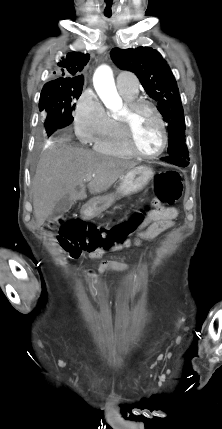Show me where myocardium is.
<instances>
[{"label": "myocardium", "instance_id": "obj_1", "mask_svg": "<svg viewBox=\"0 0 222 429\" xmlns=\"http://www.w3.org/2000/svg\"><path fill=\"white\" fill-rule=\"evenodd\" d=\"M141 109H149L155 115L162 132V145L157 152L152 154L142 152L134 140L133 120ZM118 120L122 129L124 142L133 155L143 159H156L165 152L169 140L167 125L160 111L151 102L141 98L126 101L125 111L118 117Z\"/></svg>", "mask_w": 222, "mask_h": 429}]
</instances>
